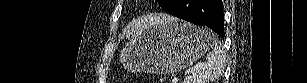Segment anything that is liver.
<instances>
[{
  "label": "liver",
  "mask_w": 307,
  "mask_h": 83,
  "mask_svg": "<svg viewBox=\"0 0 307 83\" xmlns=\"http://www.w3.org/2000/svg\"><path fill=\"white\" fill-rule=\"evenodd\" d=\"M169 19H172V17H167V18L165 17V18H163V21L169 20ZM141 26L142 25L139 24V23H135V24L128 26L126 28V30L123 32V37H125V36L128 37L130 35L137 36L139 34V30H140Z\"/></svg>",
  "instance_id": "obj_1"
}]
</instances>
